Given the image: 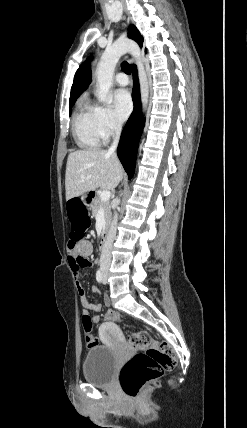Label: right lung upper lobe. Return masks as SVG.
I'll return each instance as SVG.
<instances>
[{"label":"right lung upper lobe","instance_id":"cb5924a9","mask_svg":"<svg viewBox=\"0 0 247 428\" xmlns=\"http://www.w3.org/2000/svg\"><path fill=\"white\" fill-rule=\"evenodd\" d=\"M129 38L135 40L140 47L143 44V37L134 25H130L128 29ZM146 52V50H145ZM134 65H132L133 67ZM91 82L90 65H82L76 72L74 82L71 88L69 104H74L80 94L89 86Z\"/></svg>","mask_w":247,"mask_h":428}]
</instances>
